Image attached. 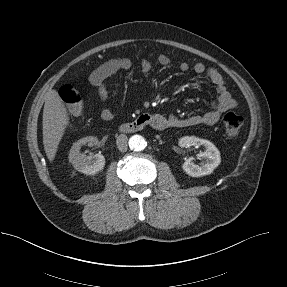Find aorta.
<instances>
[{"label":"aorta","mask_w":287,"mask_h":287,"mask_svg":"<svg viewBox=\"0 0 287 287\" xmlns=\"http://www.w3.org/2000/svg\"><path fill=\"white\" fill-rule=\"evenodd\" d=\"M147 146V142L140 135H134L129 139V147L134 151H142Z\"/></svg>","instance_id":"aorta-1"}]
</instances>
